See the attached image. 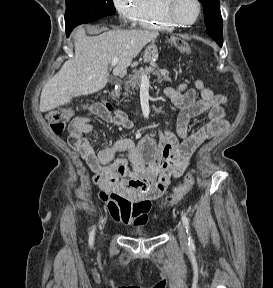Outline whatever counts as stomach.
I'll return each mask as SVG.
<instances>
[{
  "mask_svg": "<svg viewBox=\"0 0 273 288\" xmlns=\"http://www.w3.org/2000/svg\"><path fill=\"white\" fill-rule=\"evenodd\" d=\"M158 58V48L155 42L150 43L143 54V60L145 63L153 62Z\"/></svg>",
  "mask_w": 273,
  "mask_h": 288,
  "instance_id": "0dacf381",
  "label": "stomach"
}]
</instances>
